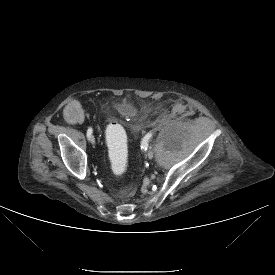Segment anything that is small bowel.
<instances>
[{"mask_svg":"<svg viewBox=\"0 0 275 275\" xmlns=\"http://www.w3.org/2000/svg\"><path fill=\"white\" fill-rule=\"evenodd\" d=\"M85 102L82 97L73 95L68 98L65 105L61 106L58 116L61 121L68 124H80L84 119Z\"/></svg>","mask_w":275,"mask_h":275,"instance_id":"obj_1","label":"small bowel"}]
</instances>
